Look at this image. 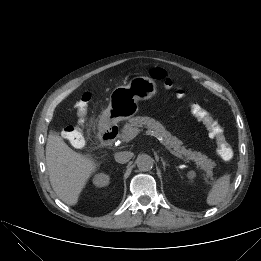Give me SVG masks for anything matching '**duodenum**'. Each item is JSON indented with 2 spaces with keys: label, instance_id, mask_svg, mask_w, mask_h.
<instances>
[{
  "label": "duodenum",
  "instance_id": "410a0bca",
  "mask_svg": "<svg viewBox=\"0 0 261 261\" xmlns=\"http://www.w3.org/2000/svg\"><path fill=\"white\" fill-rule=\"evenodd\" d=\"M118 136V128L115 126H109L103 128L100 132V139L106 146H112Z\"/></svg>",
  "mask_w": 261,
  "mask_h": 261
}]
</instances>
